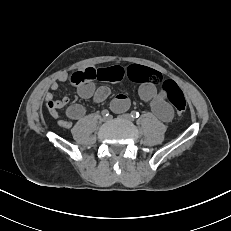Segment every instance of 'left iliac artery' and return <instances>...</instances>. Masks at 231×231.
Masks as SVG:
<instances>
[{
  "instance_id": "obj_1",
  "label": "left iliac artery",
  "mask_w": 231,
  "mask_h": 231,
  "mask_svg": "<svg viewBox=\"0 0 231 231\" xmlns=\"http://www.w3.org/2000/svg\"><path fill=\"white\" fill-rule=\"evenodd\" d=\"M131 116H132L133 118H138V117H139V112H137V111H132V112H131Z\"/></svg>"
}]
</instances>
